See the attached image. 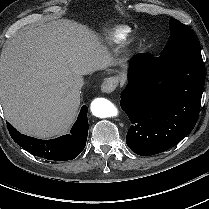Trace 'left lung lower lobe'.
Listing matches in <instances>:
<instances>
[{"label":"left lung lower lobe","instance_id":"0a47b994","mask_svg":"<svg viewBox=\"0 0 209 209\" xmlns=\"http://www.w3.org/2000/svg\"><path fill=\"white\" fill-rule=\"evenodd\" d=\"M128 81L120 106L131 121L126 143L136 154L164 152L193 130L205 81L200 47L170 56L135 55Z\"/></svg>","mask_w":209,"mask_h":209}]
</instances>
